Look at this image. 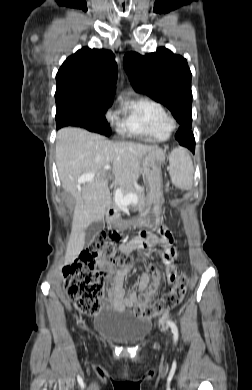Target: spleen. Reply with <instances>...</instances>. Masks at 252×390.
<instances>
[{"label":"spleen","mask_w":252,"mask_h":390,"mask_svg":"<svg viewBox=\"0 0 252 390\" xmlns=\"http://www.w3.org/2000/svg\"><path fill=\"white\" fill-rule=\"evenodd\" d=\"M193 173V163L189 154L182 148L174 149L169 155V174L172 183L182 190H190L193 185Z\"/></svg>","instance_id":"spleen-1"}]
</instances>
